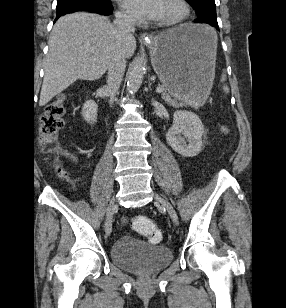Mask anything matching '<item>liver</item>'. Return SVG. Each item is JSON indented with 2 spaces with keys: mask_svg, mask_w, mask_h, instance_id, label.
Instances as JSON below:
<instances>
[{
  "mask_svg": "<svg viewBox=\"0 0 286 308\" xmlns=\"http://www.w3.org/2000/svg\"><path fill=\"white\" fill-rule=\"evenodd\" d=\"M48 45L40 106L78 79H99L115 55L122 54L126 59L136 50L133 35L124 36L107 17L85 12L60 17L53 26Z\"/></svg>",
  "mask_w": 286,
  "mask_h": 308,
  "instance_id": "obj_1",
  "label": "liver"
}]
</instances>
